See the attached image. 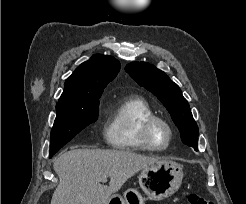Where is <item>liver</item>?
Returning <instances> with one entry per match:
<instances>
[{"label":"liver","mask_w":246,"mask_h":204,"mask_svg":"<svg viewBox=\"0 0 246 204\" xmlns=\"http://www.w3.org/2000/svg\"><path fill=\"white\" fill-rule=\"evenodd\" d=\"M157 162L132 151L72 149L54 162L60 181L51 204H106L129 178Z\"/></svg>","instance_id":"1"}]
</instances>
